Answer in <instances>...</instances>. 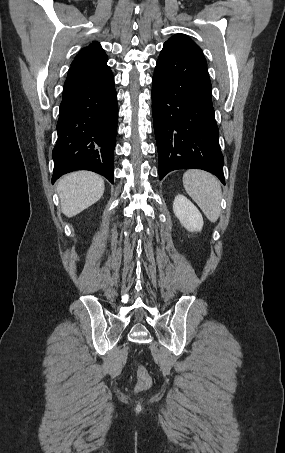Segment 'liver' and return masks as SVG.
I'll return each mask as SVG.
<instances>
[{"instance_id": "1", "label": "liver", "mask_w": 285, "mask_h": 453, "mask_svg": "<svg viewBox=\"0 0 285 453\" xmlns=\"http://www.w3.org/2000/svg\"><path fill=\"white\" fill-rule=\"evenodd\" d=\"M104 189V180L96 173L78 171L65 175L57 185L63 214L76 216L96 203Z\"/></svg>"}]
</instances>
